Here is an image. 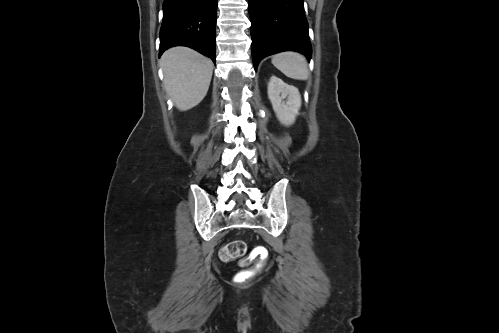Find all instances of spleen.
I'll list each match as a JSON object with an SVG mask.
<instances>
[{"instance_id":"3e777b00","label":"spleen","mask_w":499,"mask_h":333,"mask_svg":"<svg viewBox=\"0 0 499 333\" xmlns=\"http://www.w3.org/2000/svg\"><path fill=\"white\" fill-rule=\"evenodd\" d=\"M272 64L289 78L297 80H306L308 78L307 61L299 53H279L273 56Z\"/></svg>"}]
</instances>
